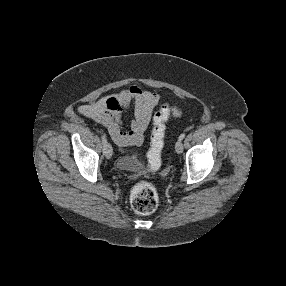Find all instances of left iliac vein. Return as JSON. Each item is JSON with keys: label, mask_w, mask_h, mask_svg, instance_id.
<instances>
[{"label": "left iliac vein", "mask_w": 286, "mask_h": 286, "mask_svg": "<svg viewBox=\"0 0 286 286\" xmlns=\"http://www.w3.org/2000/svg\"><path fill=\"white\" fill-rule=\"evenodd\" d=\"M176 153L181 154L183 152V143L182 141L178 140L175 144Z\"/></svg>", "instance_id": "1"}]
</instances>
